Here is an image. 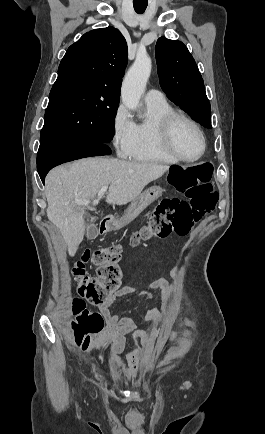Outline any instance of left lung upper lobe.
<instances>
[{
	"instance_id": "1",
	"label": "left lung upper lobe",
	"mask_w": 265,
	"mask_h": 434,
	"mask_svg": "<svg viewBox=\"0 0 265 434\" xmlns=\"http://www.w3.org/2000/svg\"><path fill=\"white\" fill-rule=\"evenodd\" d=\"M155 50L160 85L168 98L202 126L211 128V107L203 79L187 47L178 40L161 37Z\"/></svg>"
}]
</instances>
